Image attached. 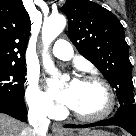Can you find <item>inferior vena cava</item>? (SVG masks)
Segmentation results:
<instances>
[{"label": "inferior vena cava", "mask_w": 136, "mask_h": 136, "mask_svg": "<svg viewBox=\"0 0 136 136\" xmlns=\"http://www.w3.org/2000/svg\"><path fill=\"white\" fill-rule=\"evenodd\" d=\"M28 121L33 127V136H46L50 122L47 119V110L36 106L30 107L28 111Z\"/></svg>", "instance_id": "obj_1"}]
</instances>
